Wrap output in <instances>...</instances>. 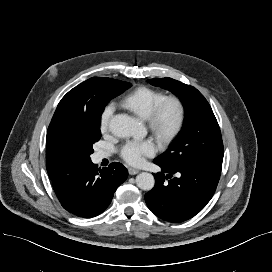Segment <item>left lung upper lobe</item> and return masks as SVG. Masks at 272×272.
I'll use <instances>...</instances> for the list:
<instances>
[{"label":"left lung upper lobe","instance_id":"left-lung-upper-lobe-1","mask_svg":"<svg viewBox=\"0 0 272 272\" xmlns=\"http://www.w3.org/2000/svg\"><path fill=\"white\" fill-rule=\"evenodd\" d=\"M177 95L185 105L184 126L169 149L154 161L164 165L191 162H223V142L215 115L204 96L194 87L172 78L148 80Z\"/></svg>","mask_w":272,"mask_h":272}]
</instances>
